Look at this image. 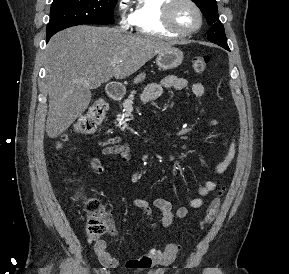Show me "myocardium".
Segmentation results:
<instances>
[{"label": "myocardium", "instance_id": "1", "mask_svg": "<svg viewBox=\"0 0 289 274\" xmlns=\"http://www.w3.org/2000/svg\"><path fill=\"white\" fill-rule=\"evenodd\" d=\"M182 1L190 4L194 8L198 16L197 25L188 30L180 29L179 27L175 25L173 21V9L177 3L182 2ZM203 20H204L203 12L195 0H168V2L163 7V11H162L163 25L167 30H169L170 32L174 33L177 36L186 37V36H190L196 33L202 27Z\"/></svg>", "mask_w": 289, "mask_h": 274}]
</instances>
